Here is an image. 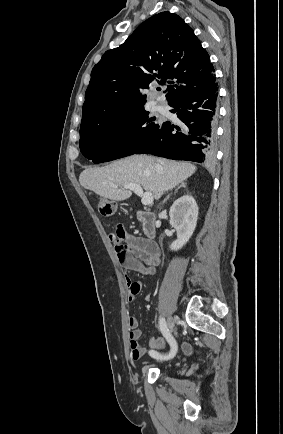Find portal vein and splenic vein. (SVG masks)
<instances>
[{"label":"portal vein and splenic vein","instance_id":"1","mask_svg":"<svg viewBox=\"0 0 283 434\" xmlns=\"http://www.w3.org/2000/svg\"><path fill=\"white\" fill-rule=\"evenodd\" d=\"M125 189H129L131 191H133L135 194H137L138 196L141 197V202L143 205H150L153 203V195L151 192H143V189L140 185L138 184H125L124 185Z\"/></svg>","mask_w":283,"mask_h":434}]
</instances>
